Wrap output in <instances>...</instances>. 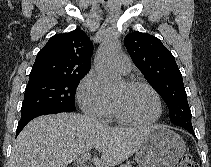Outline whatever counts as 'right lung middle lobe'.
Segmentation results:
<instances>
[{
	"instance_id": "1",
	"label": "right lung middle lobe",
	"mask_w": 211,
	"mask_h": 167,
	"mask_svg": "<svg viewBox=\"0 0 211 167\" xmlns=\"http://www.w3.org/2000/svg\"><path fill=\"white\" fill-rule=\"evenodd\" d=\"M81 77L29 81L21 108V118L44 110L75 111V93Z\"/></svg>"
}]
</instances>
